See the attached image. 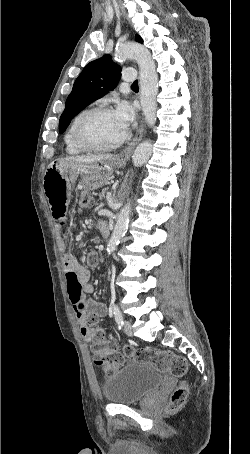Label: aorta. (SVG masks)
<instances>
[{
    "instance_id": "aorta-1",
    "label": "aorta",
    "mask_w": 250,
    "mask_h": 454,
    "mask_svg": "<svg viewBox=\"0 0 250 454\" xmlns=\"http://www.w3.org/2000/svg\"><path fill=\"white\" fill-rule=\"evenodd\" d=\"M118 60L126 58L134 59L140 70V104L142 107L145 121L149 126L156 122L158 76L156 65L151 57L150 51L143 45L136 42H126L121 44L115 52ZM153 151L151 141L140 143L134 150L132 161L134 166L140 167L146 163ZM130 217V204L128 203L118 214L117 221L112 235L107 244V253L111 254L125 235Z\"/></svg>"
}]
</instances>
